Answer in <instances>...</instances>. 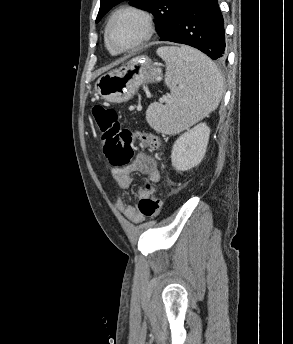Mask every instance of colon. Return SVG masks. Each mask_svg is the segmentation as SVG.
I'll list each match as a JSON object with an SVG mask.
<instances>
[{"instance_id": "1", "label": "colon", "mask_w": 293, "mask_h": 344, "mask_svg": "<svg viewBox=\"0 0 293 344\" xmlns=\"http://www.w3.org/2000/svg\"><path fill=\"white\" fill-rule=\"evenodd\" d=\"M92 115L99 129L103 152L112 167L127 166L133 158L136 143L151 150L160 147L158 137L152 133L122 129L119 122L120 113L114 108L95 105ZM145 190L149 196L140 200L138 209L145 217H156L161 213L162 200L154 194L150 184L146 185Z\"/></svg>"}]
</instances>
